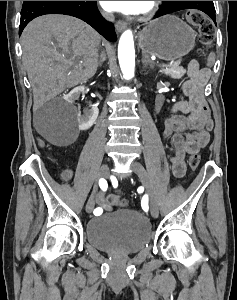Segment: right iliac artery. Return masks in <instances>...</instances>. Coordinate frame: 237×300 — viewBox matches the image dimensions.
Segmentation results:
<instances>
[{"label":"right iliac artery","mask_w":237,"mask_h":300,"mask_svg":"<svg viewBox=\"0 0 237 300\" xmlns=\"http://www.w3.org/2000/svg\"><path fill=\"white\" fill-rule=\"evenodd\" d=\"M99 186H100V188H101L103 191H106V190H107V187H108L107 181H106L105 179L101 178V179L99 180ZM100 210L102 211L101 208H96V209L94 210V212L100 211Z\"/></svg>","instance_id":"obj_1"}]
</instances>
